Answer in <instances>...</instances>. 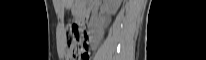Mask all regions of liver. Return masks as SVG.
Returning a JSON list of instances; mask_svg holds the SVG:
<instances>
[{"instance_id":"obj_1","label":"liver","mask_w":206,"mask_h":60,"mask_svg":"<svg viewBox=\"0 0 206 60\" xmlns=\"http://www.w3.org/2000/svg\"><path fill=\"white\" fill-rule=\"evenodd\" d=\"M59 2L63 7L70 6L72 4V0H60ZM108 2L112 4L111 11L115 13L121 3V0H109Z\"/></svg>"}]
</instances>
